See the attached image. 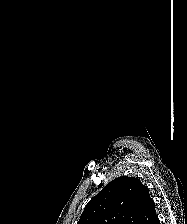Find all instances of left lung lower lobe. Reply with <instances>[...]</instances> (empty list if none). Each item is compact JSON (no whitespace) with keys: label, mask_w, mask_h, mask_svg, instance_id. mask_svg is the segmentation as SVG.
Listing matches in <instances>:
<instances>
[{"label":"left lung lower lobe","mask_w":187,"mask_h":224,"mask_svg":"<svg viewBox=\"0 0 187 224\" xmlns=\"http://www.w3.org/2000/svg\"><path fill=\"white\" fill-rule=\"evenodd\" d=\"M153 224H160V221H159L158 217H157V219L153 222Z\"/></svg>","instance_id":"1"}]
</instances>
